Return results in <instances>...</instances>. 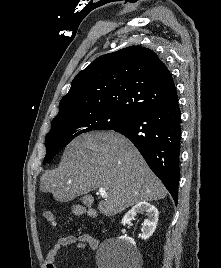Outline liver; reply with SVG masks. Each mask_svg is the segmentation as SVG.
<instances>
[{"label":"liver","mask_w":221,"mask_h":268,"mask_svg":"<svg viewBox=\"0 0 221 268\" xmlns=\"http://www.w3.org/2000/svg\"><path fill=\"white\" fill-rule=\"evenodd\" d=\"M107 193L98 205L106 216L146 201L165 198L167 190L136 147L114 131L92 132L74 139L55 170L40 178V190L68 202L92 190Z\"/></svg>","instance_id":"6515ba94"}]
</instances>
